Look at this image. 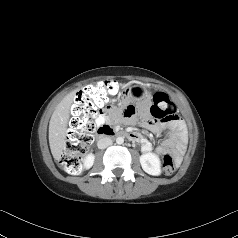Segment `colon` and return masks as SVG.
I'll use <instances>...</instances> for the list:
<instances>
[{
  "label": "colon",
  "mask_w": 238,
  "mask_h": 238,
  "mask_svg": "<svg viewBox=\"0 0 238 238\" xmlns=\"http://www.w3.org/2000/svg\"><path fill=\"white\" fill-rule=\"evenodd\" d=\"M121 90L116 81H100L80 90L72 106V119L67 134L65 149L60 159L62 169L69 174H78L83 156L87 153L92 141L96 125V117L111 97ZM176 107L167 94L158 92L153 96V104L149 113L159 121H170L176 118ZM163 170L171 174L176 169V161L172 152L167 151L162 159Z\"/></svg>",
  "instance_id": "1"
}]
</instances>
